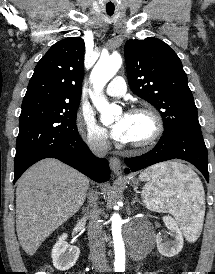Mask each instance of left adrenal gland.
Listing matches in <instances>:
<instances>
[{
    "label": "left adrenal gland",
    "instance_id": "1",
    "mask_svg": "<svg viewBox=\"0 0 215 274\" xmlns=\"http://www.w3.org/2000/svg\"><path fill=\"white\" fill-rule=\"evenodd\" d=\"M135 202H138L137 195H135V198L133 199L132 204H134Z\"/></svg>",
    "mask_w": 215,
    "mask_h": 274
}]
</instances>
